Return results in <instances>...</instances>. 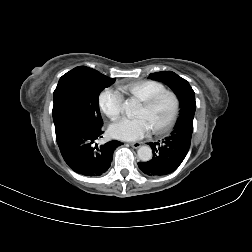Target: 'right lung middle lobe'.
Segmentation results:
<instances>
[{
	"label": "right lung middle lobe",
	"instance_id": "1",
	"mask_svg": "<svg viewBox=\"0 0 252 252\" xmlns=\"http://www.w3.org/2000/svg\"><path fill=\"white\" fill-rule=\"evenodd\" d=\"M115 82L96 70L64 74L53 94L55 126L68 121L93 127L103 124L99 110L100 92Z\"/></svg>",
	"mask_w": 252,
	"mask_h": 252
}]
</instances>
